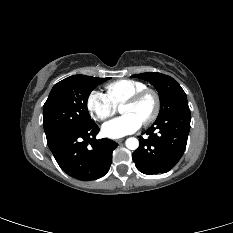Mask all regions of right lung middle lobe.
Returning <instances> with one entry per match:
<instances>
[{"label": "right lung middle lobe", "mask_w": 233, "mask_h": 233, "mask_svg": "<svg viewBox=\"0 0 233 233\" xmlns=\"http://www.w3.org/2000/svg\"><path fill=\"white\" fill-rule=\"evenodd\" d=\"M108 79L110 78L74 75L55 84L43 106L46 137L93 123L87 109L89 94Z\"/></svg>", "instance_id": "dd1d6c3e"}]
</instances>
